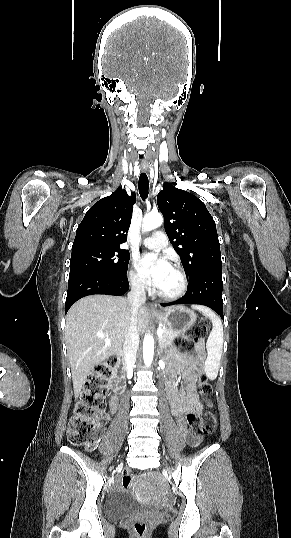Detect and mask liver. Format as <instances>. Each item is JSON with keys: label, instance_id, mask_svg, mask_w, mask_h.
I'll list each match as a JSON object with an SVG mask.
<instances>
[{"label": "liver", "instance_id": "1", "mask_svg": "<svg viewBox=\"0 0 291 538\" xmlns=\"http://www.w3.org/2000/svg\"><path fill=\"white\" fill-rule=\"evenodd\" d=\"M130 318L129 300L118 296L99 294L87 296L70 308L66 316L65 341L75 397L79 396L90 371L121 351ZM148 318V309L144 306L139 307L138 334L145 332Z\"/></svg>", "mask_w": 291, "mask_h": 538}]
</instances>
